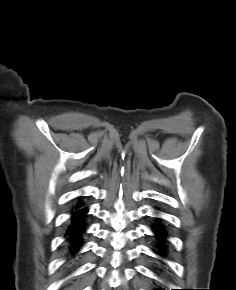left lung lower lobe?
<instances>
[{"mask_svg":"<svg viewBox=\"0 0 236 290\" xmlns=\"http://www.w3.org/2000/svg\"><path fill=\"white\" fill-rule=\"evenodd\" d=\"M152 229L156 238V247L160 254L163 255V252L165 251V238L167 236L165 227L159 221H155V223L152 225Z\"/></svg>","mask_w":236,"mask_h":290,"instance_id":"0a47b994","label":"left lung lower lobe"}]
</instances>
